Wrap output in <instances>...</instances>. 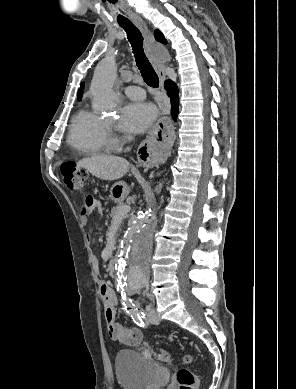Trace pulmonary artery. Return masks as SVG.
<instances>
[{
	"label": "pulmonary artery",
	"mask_w": 296,
	"mask_h": 389,
	"mask_svg": "<svg viewBox=\"0 0 296 389\" xmlns=\"http://www.w3.org/2000/svg\"><path fill=\"white\" fill-rule=\"evenodd\" d=\"M124 93L131 99L141 100L145 98V92L138 86H127L124 88Z\"/></svg>",
	"instance_id": "pulmonary-artery-1"
}]
</instances>
